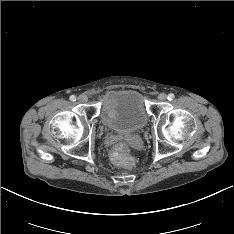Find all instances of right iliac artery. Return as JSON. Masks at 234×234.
Wrapping results in <instances>:
<instances>
[{
    "label": "right iliac artery",
    "mask_w": 234,
    "mask_h": 234,
    "mask_svg": "<svg viewBox=\"0 0 234 234\" xmlns=\"http://www.w3.org/2000/svg\"><path fill=\"white\" fill-rule=\"evenodd\" d=\"M70 100H71V101H75V100H76V96H75V95H71V96H70Z\"/></svg>",
    "instance_id": "right-iliac-artery-1"
}]
</instances>
